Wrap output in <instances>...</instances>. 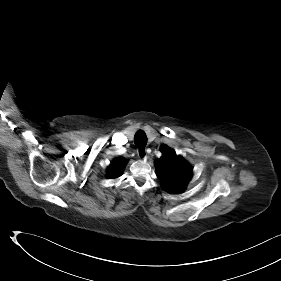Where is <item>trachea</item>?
<instances>
[{
  "instance_id": "obj_1",
  "label": "trachea",
  "mask_w": 281,
  "mask_h": 281,
  "mask_svg": "<svg viewBox=\"0 0 281 281\" xmlns=\"http://www.w3.org/2000/svg\"><path fill=\"white\" fill-rule=\"evenodd\" d=\"M134 143L138 147H143L147 144V136L144 131L139 130L134 136Z\"/></svg>"
}]
</instances>
